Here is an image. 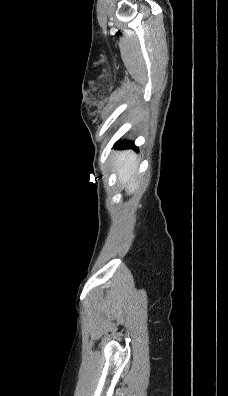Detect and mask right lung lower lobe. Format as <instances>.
<instances>
[{
	"mask_svg": "<svg viewBox=\"0 0 228 396\" xmlns=\"http://www.w3.org/2000/svg\"><path fill=\"white\" fill-rule=\"evenodd\" d=\"M115 145H120L119 141ZM121 145H124L125 147H135L133 142H125Z\"/></svg>",
	"mask_w": 228,
	"mask_h": 396,
	"instance_id": "obj_1",
	"label": "right lung lower lobe"
}]
</instances>
